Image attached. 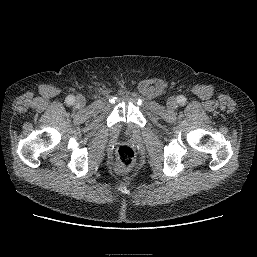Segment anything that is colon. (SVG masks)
Listing matches in <instances>:
<instances>
[{
    "label": "colon",
    "mask_w": 257,
    "mask_h": 257,
    "mask_svg": "<svg viewBox=\"0 0 257 257\" xmlns=\"http://www.w3.org/2000/svg\"><path fill=\"white\" fill-rule=\"evenodd\" d=\"M136 153L129 144L121 145L116 152V170L120 173L129 171L135 162Z\"/></svg>",
    "instance_id": "1"
}]
</instances>
